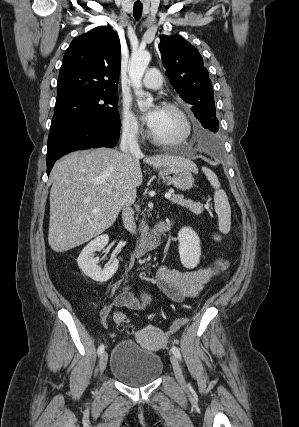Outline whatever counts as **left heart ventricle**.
<instances>
[{"mask_svg":"<svg viewBox=\"0 0 299 427\" xmlns=\"http://www.w3.org/2000/svg\"><path fill=\"white\" fill-rule=\"evenodd\" d=\"M151 130L160 138L172 139L183 133V124L175 112L161 107L156 123Z\"/></svg>","mask_w":299,"mask_h":427,"instance_id":"left-heart-ventricle-1","label":"left heart ventricle"}]
</instances>
